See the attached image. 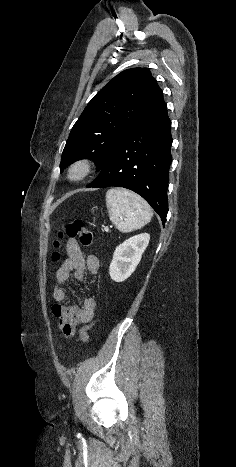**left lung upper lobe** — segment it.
<instances>
[{
  "instance_id": "5c2ea615",
  "label": "left lung upper lobe",
  "mask_w": 236,
  "mask_h": 467,
  "mask_svg": "<svg viewBox=\"0 0 236 467\" xmlns=\"http://www.w3.org/2000/svg\"><path fill=\"white\" fill-rule=\"evenodd\" d=\"M162 100L163 92L149 70L122 71L92 98L74 124L60 168L88 158L100 170L122 136Z\"/></svg>"
}]
</instances>
